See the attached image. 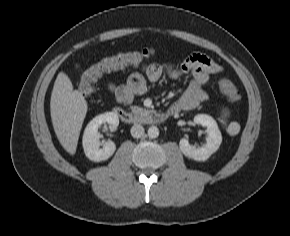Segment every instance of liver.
<instances>
[{
    "mask_svg": "<svg viewBox=\"0 0 290 236\" xmlns=\"http://www.w3.org/2000/svg\"><path fill=\"white\" fill-rule=\"evenodd\" d=\"M87 108V102L82 93L73 90L70 78L64 72H60L51 94L50 113L60 144L71 155L76 152Z\"/></svg>",
    "mask_w": 290,
    "mask_h": 236,
    "instance_id": "liver-1",
    "label": "liver"
}]
</instances>
